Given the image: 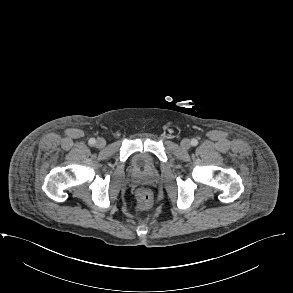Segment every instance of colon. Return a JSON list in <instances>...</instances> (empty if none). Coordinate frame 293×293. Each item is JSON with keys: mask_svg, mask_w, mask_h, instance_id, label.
<instances>
[{"mask_svg": "<svg viewBox=\"0 0 293 293\" xmlns=\"http://www.w3.org/2000/svg\"><path fill=\"white\" fill-rule=\"evenodd\" d=\"M136 198H137L136 208L138 211H145L152 204V196L150 192L144 188H139L137 190Z\"/></svg>", "mask_w": 293, "mask_h": 293, "instance_id": "5ec220e1", "label": "colon"}]
</instances>
